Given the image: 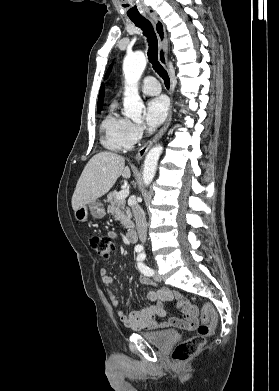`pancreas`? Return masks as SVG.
<instances>
[{
  "instance_id": "pancreas-1",
  "label": "pancreas",
  "mask_w": 279,
  "mask_h": 391,
  "mask_svg": "<svg viewBox=\"0 0 279 391\" xmlns=\"http://www.w3.org/2000/svg\"><path fill=\"white\" fill-rule=\"evenodd\" d=\"M116 194V191H112L108 194L107 202H109L110 205L107 208V212L113 215L116 220H119L126 229H131L134 226L131 220V212L129 208L126 207V201L124 199H117Z\"/></svg>"
}]
</instances>
